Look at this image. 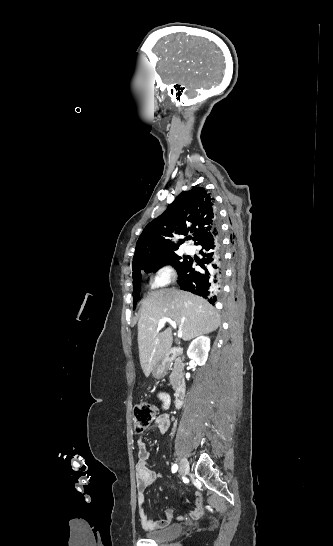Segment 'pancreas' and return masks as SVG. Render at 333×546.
<instances>
[{"label":"pancreas","instance_id":"pancreas-1","mask_svg":"<svg viewBox=\"0 0 333 546\" xmlns=\"http://www.w3.org/2000/svg\"><path fill=\"white\" fill-rule=\"evenodd\" d=\"M174 369L170 375V383L171 385L173 386V388L175 389L181 379H182V362L180 359H177L175 362H174Z\"/></svg>","mask_w":333,"mask_h":546}]
</instances>
